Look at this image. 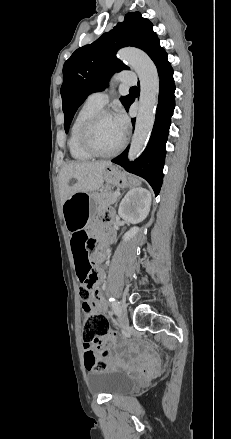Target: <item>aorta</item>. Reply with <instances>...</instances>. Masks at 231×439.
Returning a JSON list of instances; mask_svg holds the SVG:
<instances>
[{
  "mask_svg": "<svg viewBox=\"0 0 231 439\" xmlns=\"http://www.w3.org/2000/svg\"><path fill=\"white\" fill-rule=\"evenodd\" d=\"M118 57L136 71L140 80L139 109L128 153V159L133 161L145 148L153 129L159 96V76L154 62L141 50L124 48L118 52Z\"/></svg>",
  "mask_w": 231,
  "mask_h": 439,
  "instance_id": "762f6f07",
  "label": "aorta"
}]
</instances>
